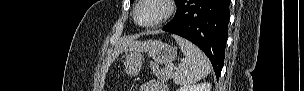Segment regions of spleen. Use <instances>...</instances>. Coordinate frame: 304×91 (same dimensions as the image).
Segmentation results:
<instances>
[{"instance_id": "obj_1", "label": "spleen", "mask_w": 304, "mask_h": 91, "mask_svg": "<svg viewBox=\"0 0 304 91\" xmlns=\"http://www.w3.org/2000/svg\"><path fill=\"white\" fill-rule=\"evenodd\" d=\"M180 46L185 59L179 65L174 76L177 85H189L205 78L211 71L207 56L194 44L181 37H174Z\"/></svg>"}]
</instances>
